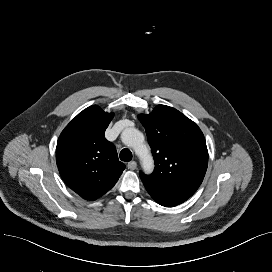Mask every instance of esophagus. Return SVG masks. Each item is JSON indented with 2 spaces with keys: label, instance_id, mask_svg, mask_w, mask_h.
<instances>
[{
  "label": "esophagus",
  "instance_id": "34e87169",
  "mask_svg": "<svg viewBox=\"0 0 272 272\" xmlns=\"http://www.w3.org/2000/svg\"><path fill=\"white\" fill-rule=\"evenodd\" d=\"M127 167L130 170H135L136 167H137V163L135 161H131V162L128 163Z\"/></svg>",
  "mask_w": 272,
  "mask_h": 272
}]
</instances>
